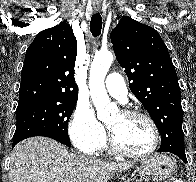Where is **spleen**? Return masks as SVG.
<instances>
[{
	"mask_svg": "<svg viewBox=\"0 0 196 182\" xmlns=\"http://www.w3.org/2000/svg\"><path fill=\"white\" fill-rule=\"evenodd\" d=\"M174 182H183V180L178 179V180H175Z\"/></svg>",
	"mask_w": 196,
	"mask_h": 182,
	"instance_id": "spleen-1",
	"label": "spleen"
}]
</instances>
